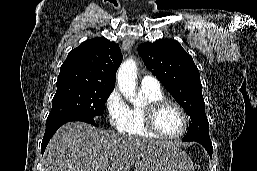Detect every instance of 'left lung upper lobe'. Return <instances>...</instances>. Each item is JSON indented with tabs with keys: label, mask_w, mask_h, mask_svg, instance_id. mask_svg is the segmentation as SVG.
Wrapping results in <instances>:
<instances>
[{
	"label": "left lung upper lobe",
	"mask_w": 257,
	"mask_h": 171,
	"mask_svg": "<svg viewBox=\"0 0 257 171\" xmlns=\"http://www.w3.org/2000/svg\"><path fill=\"white\" fill-rule=\"evenodd\" d=\"M138 52L147 69L190 117L188 132L182 140H210L199 70L192 57L172 39L141 44Z\"/></svg>",
	"instance_id": "5c2ea615"
}]
</instances>
